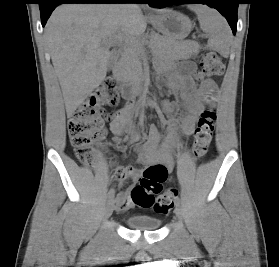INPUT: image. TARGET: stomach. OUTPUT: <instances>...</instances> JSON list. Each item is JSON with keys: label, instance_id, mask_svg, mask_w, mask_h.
<instances>
[{"label": "stomach", "instance_id": "stomach-1", "mask_svg": "<svg viewBox=\"0 0 279 267\" xmlns=\"http://www.w3.org/2000/svg\"><path fill=\"white\" fill-rule=\"evenodd\" d=\"M150 21L158 32L172 40H183L192 28L186 15L169 9L158 12Z\"/></svg>", "mask_w": 279, "mask_h": 267}]
</instances>
